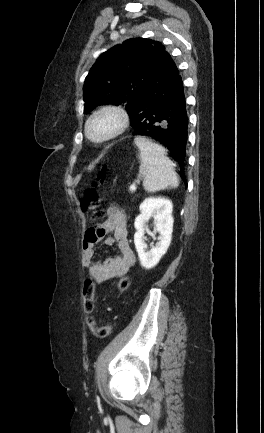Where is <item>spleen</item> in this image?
<instances>
[{"label": "spleen", "mask_w": 264, "mask_h": 433, "mask_svg": "<svg viewBox=\"0 0 264 433\" xmlns=\"http://www.w3.org/2000/svg\"><path fill=\"white\" fill-rule=\"evenodd\" d=\"M134 143L140 149V172L147 192H156L168 187L177 188L179 181L173 162L166 156V150L145 137H136Z\"/></svg>", "instance_id": "obj_1"}]
</instances>
